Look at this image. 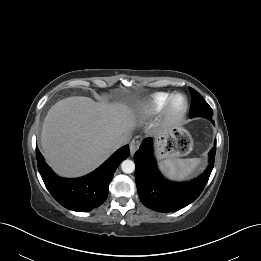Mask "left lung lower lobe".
<instances>
[{
    "label": "left lung lower lobe",
    "mask_w": 261,
    "mask_h": 261,
    "mask_svg": "<svg viewBox=\"0 0 261 261\" xmlns=\"http://www.w3.org/2000/svg\"><path fill=\"white\" fill-rule=\"evenodd\" d=\"M209 120L212 121V118ZM212 123L214 124V121ZM152 153V139L145 138L134 155L137 190L145 206L166 213L189 205L201 194L214 166L216 148L213 147L209 153L210 164L205 172L197 179L183 183L164 179L157 169Z\"/></svg>",
    "instance_id": "obj_1"
}]
</instances>
